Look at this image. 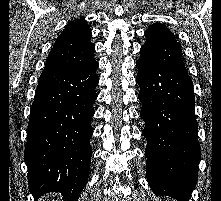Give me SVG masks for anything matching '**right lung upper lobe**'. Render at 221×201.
<instances>
[{
	"instance_id": "right-lung-upper-lobe-1",
	"label": "right lung upper lobe",
	"mask_w": 221,
	"mask_h": 201,
	"mask_svg": "<svg viewBox=\"0 0 221 201\" xmlns=\"http://www.w3.org/2000/svg\"><path fill=\"white\" fill-rule=\"evenodd\" d=\"M92 33L85 20L69 24L56 39L47 58L49 70H80L97 63L93 57Z\"/></svg>"
}]
</instances>
